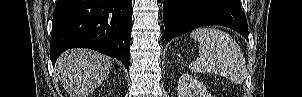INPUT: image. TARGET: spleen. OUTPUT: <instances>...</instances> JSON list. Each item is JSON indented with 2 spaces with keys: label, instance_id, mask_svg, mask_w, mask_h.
<instances>
[{
  "label": "spleen",
  "instance_id": "obj_1",
  "mask_svg": "<svg viewBox=\"0 0 302 97\" xmlns=\"http://www.w3.org/2000/svg\"><path fill=\"white\" fill-rule=\"evenodd\" d=\"M190 38L199 43V57L189 66L194 73H215L238 84L244 81L245 58L228 33L204 27L194 30Z\"/></svg>",
  "mask_w": 302,
  "mask_h": 97
}]
</instances>
